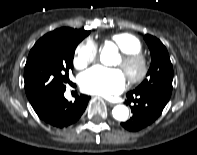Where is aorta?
Masks as SVG:
<instances>
[{
    "label": "aorta",
    "instance_id": "obj_1",
    "mask_svg": "<svg viewBox=\"0 0 197 155\" xmlns=\"http://www.w3.org/2000/svg\"><path fill=\"white\" fill-rule=\"evenodd\" d=\"M115 49L112 46H106L103 48L101 55H100V61L108 65L110 63V59L114 56ZM113 117L118 121H126L129 116V109L124 105H117L112 110Z\"/></svg>",
    "mask_w": 197,
    "mask_h": 155
}]
</instances>
